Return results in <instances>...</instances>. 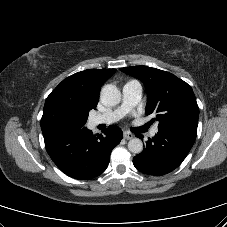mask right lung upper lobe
<instances>
[{"label":"right lung upper lobe","mask_w":227,"mask_h":227,"mask_svg":"<svg viewBox=\"0 0 227 227\" xmlns=\"http://www.w3.org/2000/svg\"><path fill=\"white\" fill-rule=\"evenodd\" d=\"M115 71L116 69H89L75 73L64 79L48 97L63 95L85 108L95 109L101 86Z\"/></svg>","instance_id":"1"}]
</instances>
